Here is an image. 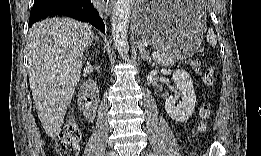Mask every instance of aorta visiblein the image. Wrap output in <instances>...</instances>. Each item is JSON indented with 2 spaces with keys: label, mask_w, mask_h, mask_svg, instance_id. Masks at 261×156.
Instances as JSON below:
<instances>
[{
  "label": "aorta",
  "mask_w": 261,
  "mask_h": 156,
  "mask_svg": "<svg viewBox=\"0 0 261 156\" xmlns=\"http://www.w3.org/2000/svg\"><path fill=\"white\" fill-rule=\"evenodd\" d=\"M132 6V0H117L112 15V36L115 48L123 59H127L128 57L129 44L127 30Z\"/></svg>",
  "instance_id": "obj_1"
}]
</instances>
